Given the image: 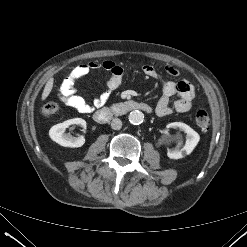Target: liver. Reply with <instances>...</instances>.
Wrapping results in <instances>:
<instances>
[{
	"label": "liver",
	"mask_w": 247,
	"mask_h": 247,
	"mask_svg": "<svg viewBox=\"0 0 247 247\" xmlns=\"http://www.w3.org/2000/svg\"><path fill=\"white\" fill-rule=\"evenodd\" d=\"M53 82H54V79L52 77L49 78V80L47 81V83L44 87L43 93H42V98H41L42 100H45L49 96V94L53 88Z\"/></svg>",
	"instance_id": "liver-1"
}]
</instances>
